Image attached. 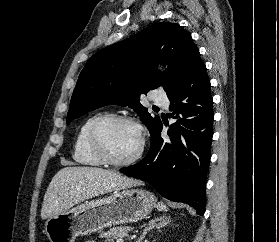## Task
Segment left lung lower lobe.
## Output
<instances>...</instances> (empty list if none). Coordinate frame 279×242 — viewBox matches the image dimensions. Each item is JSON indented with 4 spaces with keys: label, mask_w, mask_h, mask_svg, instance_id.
<instances>
[{
    "label": "left lung lower lobe",
    "mask_w": 279,
    "mask_h": 242,
    "mask_svg": "<svg viewBox=\"0 0 279 242\" xmlns=\"http://www.w3.org/2000/svg\"><path fill=\"white\" fill-rule=\"evenodd\" d=\"M206 66L199 51L191 60L182 81L168 94L171 117L168 139L161 138L162 123L151 134L147 156L122 168L127 176L151 184L162 196L194 207L203 215L206 177L213 136V99Z\"/></svg>",
    "instance_id": "0a47b994"
}]
</instances>
